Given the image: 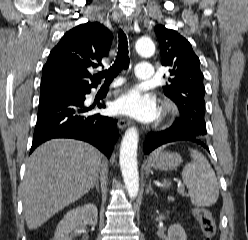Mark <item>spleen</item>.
<instances>
[{"label":"spleen","instance_id":"obj_1","mask_svg":"<svg viewBox=\"0 0 248 240\" xmlns=\"http://www.w3.org/2000/svg\"><path fill=\"white\" fill-rule=\"evenodd\" d=\"M191 163L182 171L183 183L188 189L191 202L198 207H209L219 197V187L214 170L208 160L199 151L190 149ZM169 186L170 183L164 180Z\"/></svg>","mask_w":248,"mask_h":240}]
</instances>
